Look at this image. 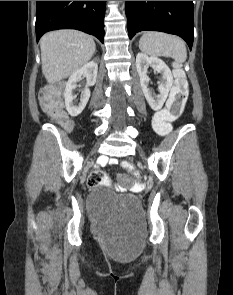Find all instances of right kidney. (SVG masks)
Masks as SVG:
<instances>
[{
    "label": "right kidney",
    "mask_w": 233,
    "mask_h": 295,
    "mask_svg": "<svg viewBox=\"0 0 233 295\" xmlns=\"http://www.w3.org/2000/svg\"><path fill=\"white\" fill-rule=\"evenodd\" d=\"M97 73L98 64L91 61L83 65L69 77L65 85L64 99L66 109L72 117L78 116L85 108L90 98L89 87L96 83ZM82 76L86 78V88L81 92L80 102L76 103L74 102L75 96L73 95V90L77 87V82Z\"/></svg>",
    "instance_id": "right-kidney-1"
}]
</instances>
